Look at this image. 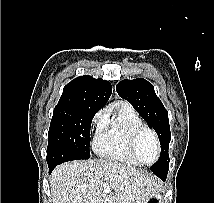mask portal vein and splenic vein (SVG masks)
Wrapping results in <instances>:
<instances>
[{
	"label": "portal vein and splenic vein",
	"instance_id": "obj_1",
	"mask_svg": "<svg viewBox=\"0 0 214 203\" xmlns=\"http://www.w3.org/2000/svg\"><path fill=\"white\" fill-rule=\"evenodd\" d=\"M103 188L106 192H110V186L108 183H104Z\"/></svg>",
	"mask_w": 214,
	"mask_h": 203
}]
</instances>
